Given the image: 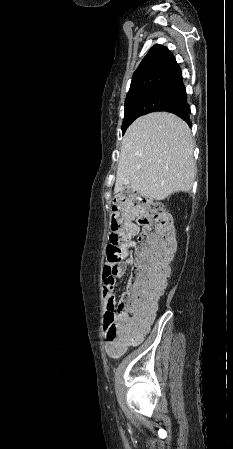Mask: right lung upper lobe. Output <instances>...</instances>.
<instances>
[{
  "instance_id": "cb5924a9",
  "label": "right lung upper lobe",
  "mask_w": 233,
  "mask_h": 449,
  "mask_svg": "<svg viewBox=\"0 0 233 449\" xmlns=\"http://www.w3.org/2000/svg\"><path fill=\"white\" fill-rule=\"evenodd\" d=\"M151 88L184 90L182 72L173 54L162 45H154L135 71L127 95Z\"/></svg>"
}]
</instances>
